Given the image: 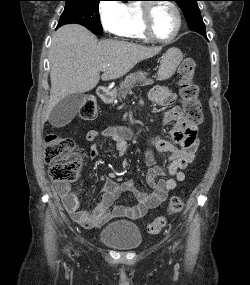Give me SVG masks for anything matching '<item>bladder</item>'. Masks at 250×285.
<instances>
[{"label":"bladder","instance_id":"bladder-1","mask_svg":"<svg viewBox=\"0 0 250 285\" xmlns=\"http://www.w3.org/2000/svg\"><path fill=\"white\" fill-rule=\"evenodd\" d=\"M99 239L105 245L118 250H132L142 242L139 227L130 221L116 220L105 225L99 232Z\"/></svg>","mask_w":250,"mask_h":285}]
</instances>
